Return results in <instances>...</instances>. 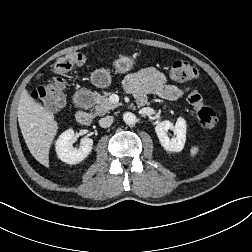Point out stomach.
I'll return each instance as SVG.
<instances>
[{
    "mask_svg": "<svg viewBox=\"0 0 252 252\" xmlns=\"http://www.w3.org/2000/svg\"><path fill=\"white\" fill-rule=\"evenodd\" d=\"M136 55H124L119 56L114 61V68L117 73L125 74L131 71L134 67ZM91 82L98 88H106L111 84V74L107 69H98L91 74Z\"/></svg>",
    "mask_w": 252,
    "mask_h": 252,
    "instance_id": "stomach-1",
    "label": "stomach"
}]
</instances>
